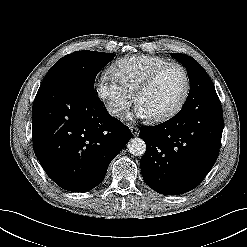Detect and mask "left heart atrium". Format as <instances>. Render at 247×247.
I'll return each instance as SVG.
<instances>
[{
    "mask_svg": "<svg viewBox=\"0 0 247 247\" xmlns=\"http://www.w3.org/2000/svg\"><path fill=\"white\" fill-rule=\"evenodd\" d=\"M136 115L141 118L150 117V115L139 105L136 107Z\"/></svg>",
    "mask_w": 247,
    "mask_h": 247,
    "instance_id": "39dd6f15",
    "label": "left heart atrium"
}]
</instances>
